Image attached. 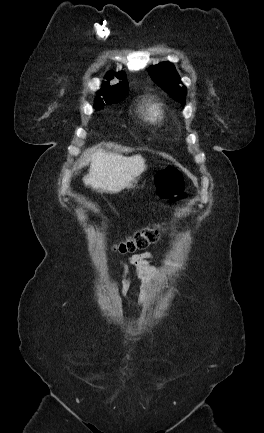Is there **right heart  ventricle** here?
Returning a JSON list of instances; mask_svg holds the SVG:
<instances>
[{
  "label": "right heart ventricle",
  "mask_w": 264,
  "mask_h": 433,
  "mask_svg": "<svg viewBox=\"0 0 264 433\" xmlns=\"http://www.w3.org/2000/svg\"><path fill=\"white\" fill-rule=\"evenodd\" d=\"M142 112L147 121L162 126L166 123V114L162 104L158 102H146L142 107Z\"/></svg>",
  "instance_id": "obj_1"
}]
</instances>
